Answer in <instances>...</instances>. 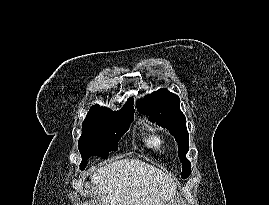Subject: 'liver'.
<instances>
[{
	"label": "liver",
	"instance_id": "1",
	"mask_svg": "<svg viewBox=\"0 0 269 205\" xmlns=\"http://www.w3.org/2000/svg\"><path fill=\"white\" fill-rule=\"evenodd\" d=\"M91 182L102 205H164L177 191L170 176L138 159L106 164L94 171Z\"/></svg>",
	"mask_w": 269,
	"mask_h": 205
}]
</instances>
